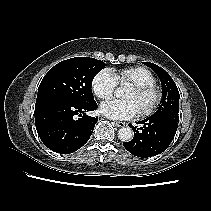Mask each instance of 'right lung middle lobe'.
<instances>
[{"instance_id": "1", "label": "right lung middle lobe", "mask_w": 211, "mask_h": 211, "mask_svg": "<svg viewBox=\"0 0 211 211\" xmlns=\"http://www.w3.org/2000/svg\"><path fill=\"white\" fill-rule=\"evenodd\" d=\"M103 68L104 62L89 57H75L58 63L42 79L36 103L61 101L84 104L94 101L92 81Z\"/></svg>"}]
</instances>
